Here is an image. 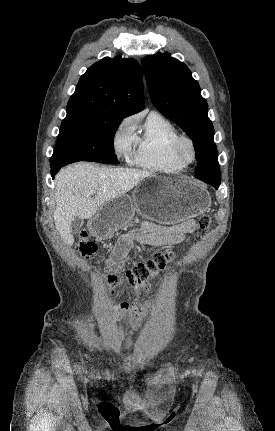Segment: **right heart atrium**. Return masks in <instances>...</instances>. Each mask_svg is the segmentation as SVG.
Wrapping results in <instances>:
<instances>
[{"mask_svg":"<svg viewBox=\"0 0 275 431\" xmlns=\"http://www.w3.org/2000/svg\"><path fill=\"white\" fill-rule=\"evenodd\" d=\"M133 125V120L126 118L119 124L114 133V149L119 156H132L133 148L136 145V135L134 134Z\"/></svg>","mask_w":275,"mask_h":431,"instance_id":"obj_1","label":"right heart atrium"}]
</instances>
